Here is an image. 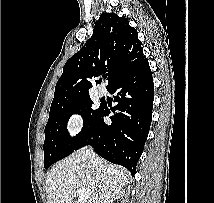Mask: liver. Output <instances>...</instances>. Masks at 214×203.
<instances>
[{
	"label": "liver",
	"instance_id": "6515ba94",
	"mask_svg": "<svg viewBox=\"0 0 214 203\" xmlns=\"http://www.w3.org/2000/svg\"><path fill=\"white\" fill-rule=\"evenodd\" d=\"M100 161L95 168L81 150L53 166L46 178L48 203H74L79 188L87 193L86 203H114L122 197L128 174L106 160Z\"/></svg>",
	"mask_w": 214,
	"mask_h": 203
}]
</instances>
